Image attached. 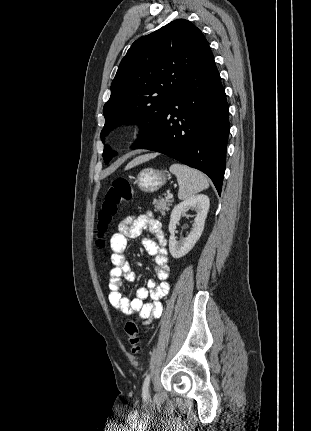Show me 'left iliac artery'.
<instances>
[{
	"label": "left iliac artery",
	"mask_w": 311,
	"mask_h": 431,
	"mask_svg": "<svg viewBox=\"0 0 311 431\" xmlns=\"http://www.w3.org/2000/svg\"><path fill=\"white\" fill-rule=\"evenodd\" d=\"M149 382H150V374H148L143 382V387H142V396L144 399L147 398L148 396V390H149Z\"/></svg>",
	"instance_id": "obj_1"
}]
</instances>
